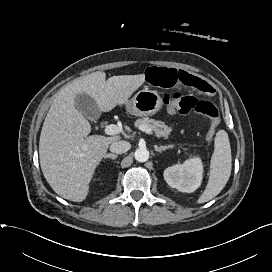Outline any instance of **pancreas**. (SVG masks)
Segmentation results:
<instances>
[{"label": "pancreas", "mask_w": 272, "mask_h": 272, "mask_svg": "<svg viewBox=\"0 0 272 272\" xmlns=\"http://www.w3.org/2000/svg\"><path fill=\"white\" fill-rule=\"evenodd\" d=\"M135 126L138 128H140L141 126H147L152 131H154L155 135L158 138L160 137L168 138L172 131V128L165 125L163 122L154 119H149L148 117L136 120Z\"/></svg>", "instance_id": "cf45deb5"}]
</instances>
